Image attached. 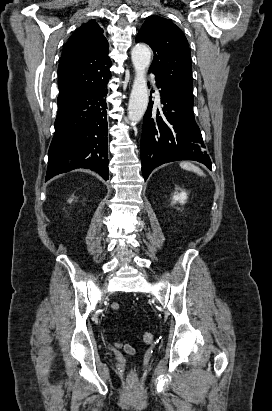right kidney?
I'll return each mask as SVG.
<instances>
[{
    "instance_id": "obj_1",
    "label": "right kidney",
    "mask_w": 272,
    "mask_h": 411,
    "mask_svg": "<svg viewBox=\"0 0 272 411\" xmlns=\"http://www.w3.org/2000/svg\"><path fill=\"white\" fill-rule=\"evenodd\" d=\"M68 202H72V199L68 200Z\"/></svg>"
}]
</instances>
